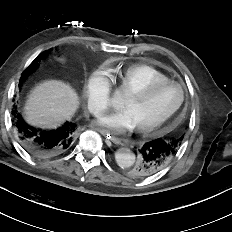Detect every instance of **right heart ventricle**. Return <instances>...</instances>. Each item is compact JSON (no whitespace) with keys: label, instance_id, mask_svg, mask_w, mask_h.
Listing matches in <instances>:
<instances>
[{"label":"right heart ventricle","instance_id":"1","mask_svg":"<svg viewBox=\"0 0 232 232\" xmlns=\"http://www.w3.org/2000/svg\"><path fill=\"white\" fill-rule=\"evenodd\" d=\"M106 70L110 84L126 95L151 83L168 80L161 71L145 64H135L123 69L107 67Z\"/></svg>","mask_w":232,"mask_h":232}]
</instances>
